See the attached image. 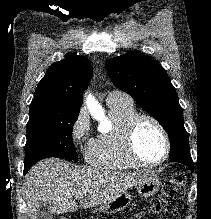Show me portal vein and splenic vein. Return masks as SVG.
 Listing matches in <instances>:
<instances>
[{"label":"portal vein and splenic vein","mask_w":211,"mask_h":219,"mask_svg":"<svg viewBox=\"0 0 211 219\" xmlns=\"http://www.w3.org/2000/svg\"><path fill=\"white\" fill-rule=\"evenodd\" d=\"M75 198H76V199H81V198H83V194H76V195H75Z\"/></svg>","instance_id":"obj_1"}]
</instances>
